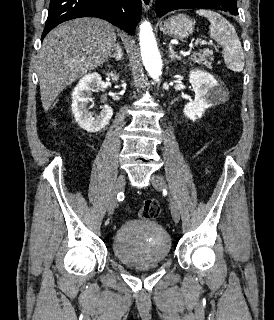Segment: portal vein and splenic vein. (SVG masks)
<instances>
[{
	"label": "portal vein and splenic vein",
	"mask_w": 274,
	"mask_h": 320,
	"mask_svg": "<svg viewBox=\"0 0 274 320\" xmlns=\"http://www.w3.org/2000/svg\"><path fill=\"white\" fill-rule=\"evenodd\" d=\"M183 56H185V52H182Z\"/></svg>",
	"instance_id": "1"
}]
</instances>
